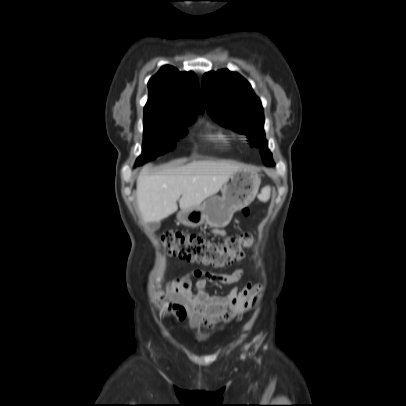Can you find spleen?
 <instances>
[{
	"label": "spleen",
	"instance_id": "obj_1",
	"mask_svg": "<svg viewBox=\"0 0 406 406\" xmlns=\"http://www.w3.org/2000/svg\"><path fill=\"white\" fill-rule=\"evenodd\" d=\"M269 188L268 187H266V188H264L263 190H262V196H263V198H268V196H269Z\"/></svg>",
	"mask_w": 406,
	"mask_h": 406
}]
</instances>
